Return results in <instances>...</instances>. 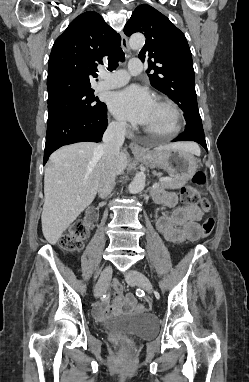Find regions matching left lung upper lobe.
Segmentation results:
<instances>
[{
    "label": "left lung upper lobe",
    "instance_id": "5c2ea615",
    "mask_svg": "<svg viewBox=\"0 0 249 382\" xmlns=\"http://www.w3.org/2000/svg\"><path fill=\"white\" fill-rule=\"evenodd\" d=\"M124 32L127 36L135 32L145 35L139 58L148 62L151 85L179 105L187 125H202L192 56L184 34L166 16L146 4L134 10Z\"/></svg>",
    "mask_w": 249,
    "mask_h": 382
}]
</instances>
